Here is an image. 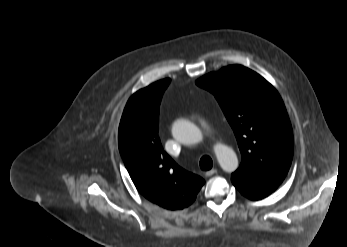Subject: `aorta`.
Here are the masks:
<instances>
[{
  "label": "aorta",
  "mask_w": 347,
  "mask_h": 247,
  "mask_svg": "<svg viewBox=\"0 0 347 247\" xmlns=\"http://www.w3.org/2000/svg\"><path fill=\"white\" fill-rule=\"evenodd\" d=\"M173 137L183 144H196L202 141L201 130L192 122L185 119H178L172 125ZM214 152L220 167L225 172H234L238 168V158L232 148L219 144L214 148Z\"/></svg>",
  "instance_id": "1"
}]
</instances>
